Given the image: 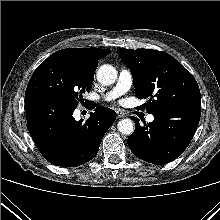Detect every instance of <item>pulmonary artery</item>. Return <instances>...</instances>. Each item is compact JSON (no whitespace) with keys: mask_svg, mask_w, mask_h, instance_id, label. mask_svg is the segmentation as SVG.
<instances>
[{"mask_svg":"<svg viewBox=\"0 0 220 220\" xmlns=\"http://www.w3.org/2000/svg\"><path fill=\"white\" fill-rule=\"evenodd\" d=\"M131 85H132L131 72L127 69H122L119 72V76L115 86L103 96L104 100L110 101L116 99L117 97L128 92L129 89L131 88ZM146 120L147 122H152L154 120V116L150 114L146 117Z\"/></svg>","mask_w":220,"mask_h":220,"instance_id":"pulmonary-artery-1","label":"pulmonary artery"}]
</instances>
